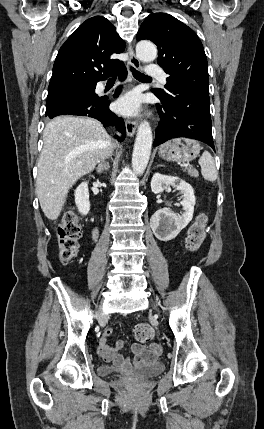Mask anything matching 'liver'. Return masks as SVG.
Masks as SVG:
<instances>
[{
	"instance_id": "obj_1",
	"label": "liver",
	"mask_w": 264,
	"mask_h": 429,
	"mask_svg": "<svg viewBox=\"0 0 264 429\" xmlns=\"http://www.w3.org/2000/svg\"><path fill=\"white\" fill-rule=\"evenodd\" d=\"M38 160L36 193L49 220H56L75 182L92 172L111 138L102 124L88 117L58 116L46 125Z\"/></svg>"
}]
</instances>
